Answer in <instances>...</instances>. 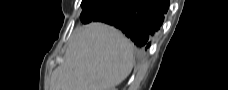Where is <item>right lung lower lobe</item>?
Wrapping results in <instances>:
<instances>
[{"instance_id":"obj_1","label":"right lung lower lobe","mask_w":228,"mask_h":90,"mask_svg":"<svg viewBox=\"0 0 228 90\" xmlns=\"http://www.w3.org/2000/svg\"><path fill=\"white\" fill-rule=\"evenodd\" d=\"M168 8L169 0H98L83 9L80 19L85 24L99 21L115 26L143 52L150 47Z\"/></svg>"}]
</instances>
